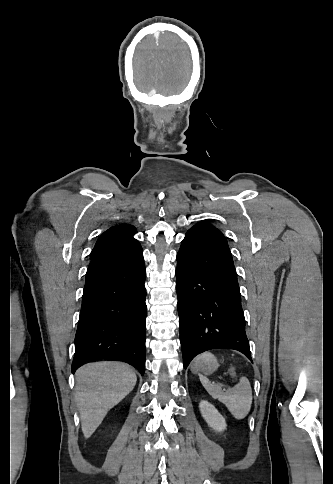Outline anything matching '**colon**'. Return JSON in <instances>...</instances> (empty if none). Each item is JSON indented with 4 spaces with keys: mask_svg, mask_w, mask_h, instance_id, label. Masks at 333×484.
Returning <instances> with one entry per match:
<instances>
[{
    "mask_svg": "<svg viewBox=\"0 0 333 484\" xmlns=\"http://www.w3.org/2000/svg\"><path fill=\"white\" fill-rule=\"evenodd\" d=\"M231 375L234 376V372L233 371H231Z\"/></svg>",
    "mask_w": 333,
    "mask_h": 484,
    "instance_id": "obj_1",
    "label": "colon"
}]
</instances>
